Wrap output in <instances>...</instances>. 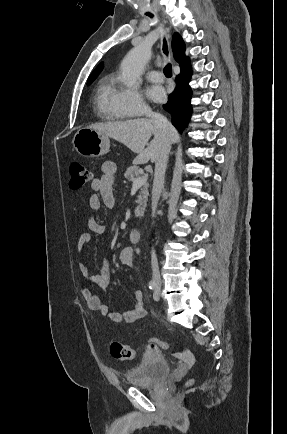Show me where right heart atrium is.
I'll return each instance as SVG.
<instances>
[{
  "instance_id": "right-heart-atrium-1",
  "label": "right heart atrium",
  "mask_w": 287,
  "mask_h": 434,
  "mask_svg": "<svg viewBox=\"0 0 287 434\" xmlns=\"http://www.w3.org/2000/svg\"><path fill=\"white\" fill-rule=\"evenodd\" d=\"M113 103L124 116H137L149 111V106L137 87L119 86L114 92Z\"/></svg>"
}]
</instances>
